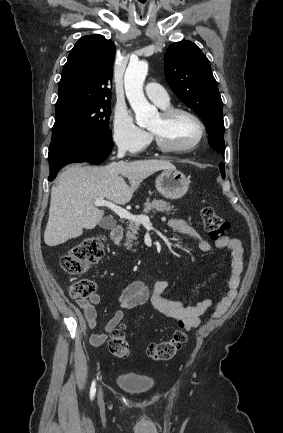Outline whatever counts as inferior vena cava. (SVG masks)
<instances>
[{
	"label": "inferior vena cava",
	"mask_w": 283,
	"mask_h": 433,
	"mask_svg": "<svg viewBox=\"0 0 283 433\" xmlns=\"http://www.w3.org/2000/svg\"><path fill=\"white\" fill-rule=\"evenodd\" d=\"M126 152V148H118L117 156L118 158H122Z\"/></svg>",
	"instance_id": "602c4592"
}]
</instances>
